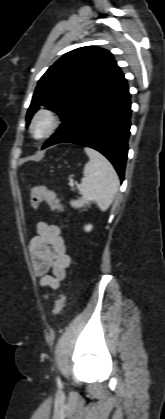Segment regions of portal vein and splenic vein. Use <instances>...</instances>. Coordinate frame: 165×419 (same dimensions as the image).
Masks as SVG:
<instances>
[{
	"label": "portal vein and splenic vein",
	"mask_w": 165,
	"mask_h": 419,
	"mask_svg": "<svg viewBox=\"0 0 165 419\" xmlns=\"http://www.w3.org/2000/svg\"><path fill=\"white\" fill-rule=\"evenodd\" d=\"M70 185H73V182H70Z\"/></svg>",
	"instance_id": "1"
}]
</instances>
